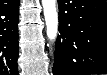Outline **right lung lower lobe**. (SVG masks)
<instances>
[{
	"mask_svg": "<svg viewBox=\"0 0 107 75\" xmlns=\"http://www.w3.org/2000/svg\"><path fill=\"white\" fill-rule=\"evenodd\" d=\"M20 1L0 3V75H17Z\"/></svg>",
	"mask_w": 107,
	"mask_h": 75,
	"instance_id": "right-lung-lower-lobe-1",
	"label": "right lung lower lobe"
}]
</instances>
